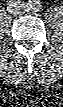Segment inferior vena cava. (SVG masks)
I'll use <instances>...</instances> for the list:
<instances>
[{
	"mask_svg": "<svg viewBox=\"0 0 63 107\" xmlns=\"http://www.w3.org/2000/svg\"><path fill=\"white\" fill-rule=\"evenodd\" d=\"M7 10L13 15L23 14L26 11L24 2L21 1H10L7 4Z\"/></svg>",
	"mask_w": 63,
	"mask_h": 107,
	"instance_id": "obj_1",
	"label": "inferior vena cava"
}]
</instances>
